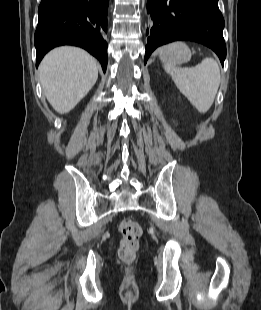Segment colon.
I'll return each mask as SVG.
<instances>
[{
  "instance_id": "obj_1",
  "label": "colon",
  "mask_w": 261,
  "mask_h": 310,
  "mask_svg": "<svg viewBox=\"0 0 261 310\" xmlns=\"http://www.w3.org/2000/svg\"><path fill=\"white\" fill-rule=\"evenodd\" d=\"M119 231L122 235L118 249L119 258L125 263H131L135 260L139 249L142 227L137 221L125 218L119 224Z\"/></svg>"
}]
</instances>
